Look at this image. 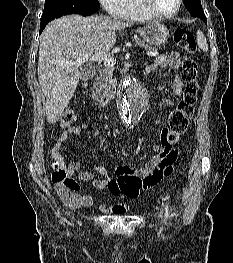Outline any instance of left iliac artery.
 Wrapping results in <instances>:
<instances>
[{
  "mask_svg": "<svg viewBox=\"0 0 233 263\" xmlns=\"http://www.w3.org/2000/svg\"><path fill=\"white\" fill-rule=\"evenodd\" d=\"M169 216H170L169 206L166 204L165 205V218L167 219L169 218Z\"/></svg>",
  "mask_w": 233,
  "mask_h": 263,
  "instance_id": "left-iliac-artery-1",
  "label": "left iliac artery"
}]
</instances>
